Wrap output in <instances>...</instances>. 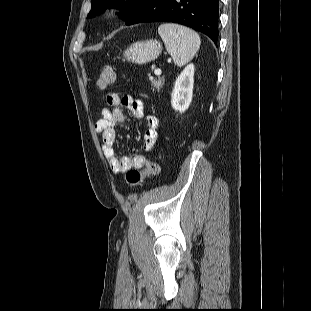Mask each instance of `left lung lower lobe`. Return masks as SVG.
Here are the masks:
<instances>
[{"mask_svg": "<svg viewBox=\"0 0 311 311\" xmlns=\"http://www.w3.org/2000/svg\"><path fill=\"white\" fill-rule=\"evenodd\" d=\"M218 0H142L124 19L126 25L141 22H173L206 34L217 44Z\"/></svg>", "mask_w": 311, "mask_h": 311, "instance_id": "1", "label": "left lung lower lobe"}]
</instances>
